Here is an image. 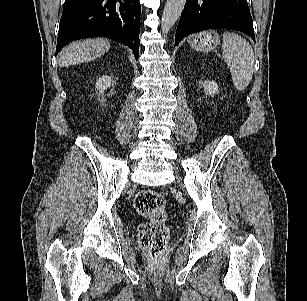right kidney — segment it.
Masks as SVG:
<instances>
[{"mask_svg":"<svg viewBox=\"0 0 307 301\" xmlns=\"http://www.w3.org/2000/svg\"><path fill=\"white\" fill-rule=\"evenodd\" d=\"M111 84H112L111 77L103 75L97 79L96 89L99 90V92L103 93V91L108 87H110Z\"/></svg>","mask_w":307,"mask_h":301,"instance_id":"ca27d5eb","label":"right kidney"}]
</instances>
